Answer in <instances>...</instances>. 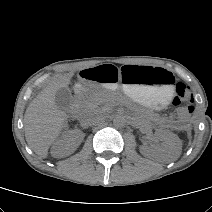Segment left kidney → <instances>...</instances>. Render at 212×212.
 <instances>
[{
	"instance_id": "left-kidney-1",
	"label": "left kidney",
	"mask_w": 212,
	"mask_h": 212,
	"mask_svg": "<svg viewBox=\"0 0 212 212\" xmlns=\"http://www.w3.org/2000/svg\"><path fill=\"white\" fill-rule=\"evenodd\" d=\"M155 137L162 141L158 151L165 161L176 160L181 153V141L176 134L168 130L159 129L155 132ZM155 150L148 146H141L140 152L144 156H150Z\"/></svg>"
}]
</instances>
